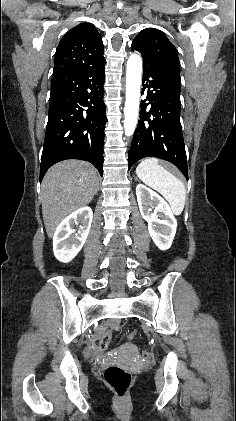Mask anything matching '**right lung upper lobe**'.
Instances as JSON below:
<instances>
[{"label":"right lung upper lobe","instance_id":"right-lung-upper-lobe-1","mask_svg":"<svg viewBox=\"0 0 236 421\" xmlns=\"http://www.w3.org/2000/svg\"><path fill=\"white\" fill-rule=\"evenodd\" d=\"M104 47L97 29L81 23L69 30L61 39L56 53L53 76L105 61Z\"/></svg>","mask_w":236,"mask_h":421}]
</instances>
